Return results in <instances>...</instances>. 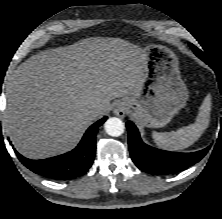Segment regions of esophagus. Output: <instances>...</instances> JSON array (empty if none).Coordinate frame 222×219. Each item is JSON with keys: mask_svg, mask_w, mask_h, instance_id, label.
<instances>
[{"mask_svg": "<svg viewBox=\"0 0 222 219\" xmlns=\"http://www.w3.org/2000/svg\"><path fill=\"white\" fill-rule=\"evenodd\" d=\"M114 114L119 117H124L126 114V109L122 103L118 104V106L114 109Z\"/></svg>", "mask_w": 222, "mask_h": 219, "instance_id": "obj_1", "label": "esophagus"}]
</instances>
